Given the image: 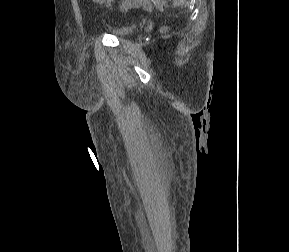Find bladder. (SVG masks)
<instances>
[{
  "instance_id": "31cf9c89",
  "label": "bladder",
  "mask_w": 289,
  "mask_h": 252,
  "mask_svg": "<svg viewBox=\"0 0 289 252\" xmlns=\"http://www.w3.org/2000/svg\"><path fill=\"white\" fill-rule=\"evenodd\" d=\"M132 31H133V27H131V26H120V27H115V28L109 29V32L112 35H115L117 37L128 36L132 33Z\"/></svg>"
}]
</instances>
